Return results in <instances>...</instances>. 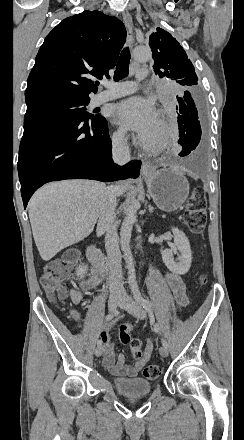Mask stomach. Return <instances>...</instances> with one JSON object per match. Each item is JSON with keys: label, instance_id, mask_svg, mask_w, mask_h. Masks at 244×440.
<instances>
[{"label": "stomach", "instance_id": "stomach-1", "mask_svg": "<svg viewBox=\"0 0 244 440\" xmlns=\"http://www.w3.org/2000/svg\"><path fill=\"white\" fill-rule=\"evenodd\" d=\"M148 194L156 206L163 212H175L181 208L189 194V184L183 172L163 166L161 170L151 168L149 174H143Z\"/></svg>", "mask_w": 244, "mask_h": 440}]
</instances>
